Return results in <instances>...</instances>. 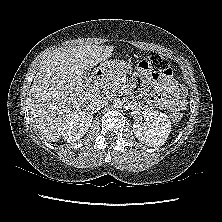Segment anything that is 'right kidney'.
I'll return each mask as SVG.
<instances>
[{
	"instance_id": "obj_1",
	"label": "right kidney",
	"mask_w": 222,
	"mask_h": 222,
	"mask_svg": "<svg viewBox=\"0 0 222 222\" xmlns=\"http://www.w3.org/2000/svg\"><path fill=\"white\" fill-rule=\"evenodd\" d=\"M93 120L92 113L78 112L66 120L62 128V137L68 143L82 138L88 131Z\"/></svg>"
}]
</instances>
